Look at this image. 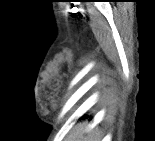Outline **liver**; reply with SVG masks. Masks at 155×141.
<instances>
[{
  "label": "liver",
  "mask_w": 155,
  "mask_h": 141,
  "mask_svg": "<svg viewBox=\"0 0 155 141\" xmlns=\"http://www.w3.org/2000/svg\"><path fill=\"white\" fill-rule=\"evenodd\" d=\"M86 127L83 125H78L75 129L68 135L66 141H100L101 135L99 132L89 131L86 137L83 136Z\"/></svg>",
  "instance_id": "obj_1"
}]
</instances>
